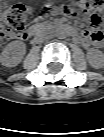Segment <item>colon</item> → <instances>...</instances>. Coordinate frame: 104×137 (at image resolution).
<instances>
[{
  "mask_svg": "<svg viewBox=\"0 0 104 137\" xmlns=\"http://www.w3.org/2000/svg\"><path fill=\"white\" fill-rule=\"evenodd\" d=\"M104 9V0H70L64 6L66 12L88 14L94 28L92 39L98 43L103 39L100 29L101 18L99 12ZM47 9L43 13H46ZM3 37L10 39L19 35L27 26L31 18V9L21 3L5 5L2 13Z\"/></svg>",
  "mask_w": 104,
  "mask_h": 137,
  "instance_id": "colon-1",
  "label": "colon"
}]
</instances>
